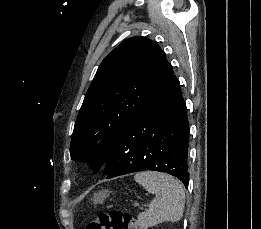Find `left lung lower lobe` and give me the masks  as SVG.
Returning a JSON list of instances; mask_svg holds the SVG:
<instances>
[{
	"label": "left lung lower lobe",
	"instance_id": "1",
	"mask_svg": "<svg viewBox=\"0 0 261 229\" xmlns=\"http://www.w3.org/2000/svg\"><path fill=\"white\" fill-rule=\"evenodd\" d=\"M189 122L179 81L173 74L126 125L106 163L107 179L155 170L188 186Z\"/></svg>",
	"mask_w": 261,
	"mask_h": 229
}]
</instances>
